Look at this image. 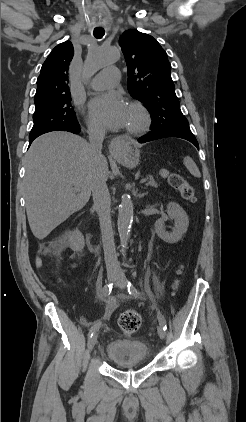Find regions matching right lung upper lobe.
Listing matches in <instances>:
<instances>
[{
    "mask_svg": "<svg viewBox=\"0 0 246 422\" xmlns=\"http://www.w3.org/2000/svg\"><path fill=\"white\" fill-rule=\"evenodd\" d=\"M74 50L70 41L57 45L42 65L34 96L36 108L43 107L58 98L71 96L68 86V68Z\"/></svg>",
    "mask_w": 246,
    "mask_h": 422,
    "instance_id": "right-lung-upper-lobe-1",
    "label": "right lung upper lobe"
}]
</instances>
